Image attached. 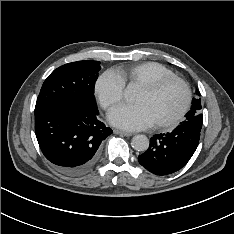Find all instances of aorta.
I'll use <instances>...</instances> for the list:
<instances>
[{"label": "aorta", "mask_w": 234, "mask_h": 234, "mask_svg": "<svg viewBox=\"0 0 234 234\" xmlns=\"http://www.w3.org/2000/svg\"><path fill=\"white\" fill-rule=\"evenodd\" d=\"M131 145L136 151H146L149 147V139L143 134L135 135L132 138Z\"/></svg>", "instance_id": "762f6f07"}]
</instances>
